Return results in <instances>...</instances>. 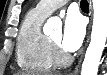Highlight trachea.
I'll return each mask as SVG.
<instances>
[{"label":"trachea","mask_w":107,"mask_h":75,"mask_svg":"<svg viewBox=\"0 0 107 75\" xmlns=\"http://www.w3.org/2000/svg\"><path fill=\"white\" fill-rule=\"evenodd\" d=\"M80 7L82 9H88V2L85 1V0H82L81 3H80Z\"/></svg>","instance_id":"1"}]
</instances>
